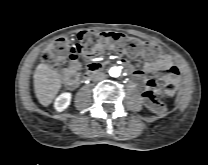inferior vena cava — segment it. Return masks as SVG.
Here are the masks:
<instances>
[{
  "label": "inferior vena cava",
  "mask_w": 208,
  "mask_h": 165,
  "mask_svg": "<svg viewBox=\"0 0 208 165\" xmlns=\"http://www.w3.org/2000/svg\"><path fill=\"white\" fill-rule=\"evenodd\" d=\"M91 80L99 81L105 78V74L102 72H95L90 76Z\"/></svg>",
  "instance_id": "inferior-vena-cava-1"
}]
</instances>
